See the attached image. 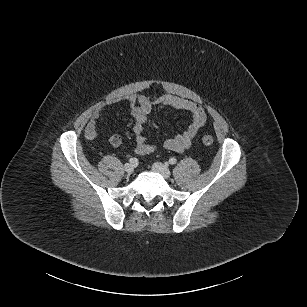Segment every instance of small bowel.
<instances>
[{"instance_id":"small-bowel-1","label":"small bowel","mask_w":307,"mask_h":307,"mask_svg":"<svg viewBox=\"0 0 307 307\" xmlns=\"http://www.w3.org/2000/svg\"><path fill=\"white\" fill-rule=\"evenodd\" d=\"M124 99L129 106L134 121L135 152L138 155H148L156 149L153 144L147 142L143 133L145 126H157V122L149 117L154 109L170 107L189 112L192 116L191 122L184 132L165 140L164 147L174 152H183L188 149L206 121L205 111L200 104L174 95L165 94L153 100L145 95L131 94ZM101 114L102 109L95 110L87 125L86 134L90 139L97 135L96 126Z\"/></svg>"}]
</instances>
